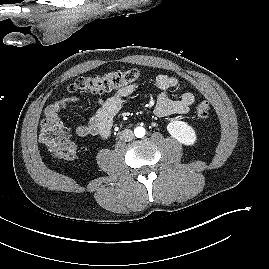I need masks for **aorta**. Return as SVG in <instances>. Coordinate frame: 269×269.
<instances>
[{"label": "aorta", "instance_id": "1", "mask_svg": "<svg viewBox=\"0 0 269 269\" xmlns=\"http://www.w3.org/2000/svg\"><path fill=\"white\" fill-rule=\"evenodd\" d=\"M145 128L138 126L134 129V134L137 138H142L145 135Z\"/></svg>", "mask_w": 269, "mask_h": 269}]
</instances>
